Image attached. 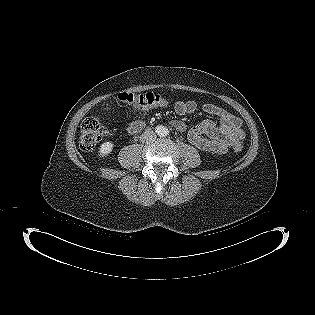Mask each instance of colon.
I'll list each match as a JSON object with an SVG mask.
<instances>
[{
	"instance_id": "obj_1",
	"label": "colon",
	"mask_w": 315,
	"mask_h": 315,
	"mask_svg": "<svg viewBox=\"0 0 315 315\" xmlns=\"http://www.w3.org/2000/svg\"><path fill=\"white\" fill-rule=\"evenodd\" d=\"M120 101L137 107H166L169 101L162 96L154 93L138 94L132 92H123L118 95ZM108 130L99 117L87 118L81 126L79 144L82 150H91L100 141L106 138ZM236 152H241L242 145L234 147Z\"/></svg>"
}]
</instances>
